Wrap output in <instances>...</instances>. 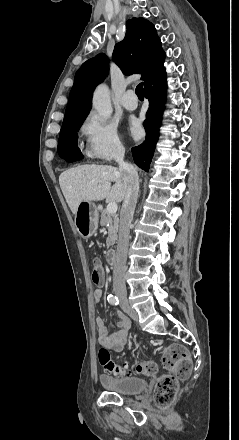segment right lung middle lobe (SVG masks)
I'll list each match as a JSON object with an SVG mask.
<instances>
[{"mask_svg": "<svg viewBox=\"0 0 239 440\" xmlns=\"http://www.w3.org/2000/svg\"><path fill=\"white\" fill-rule=\"evenodd\" d=\"M87 115L74 118L62 124L58 142V154L77 146V131L81 127Z\"/></svg>", "mask_w": 239, "mask_h": 440, "instance_id": "obj_1", "label": "right lung middle lobe"}]
</instances>
